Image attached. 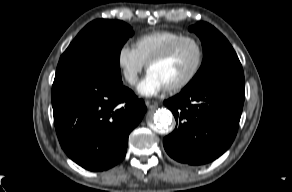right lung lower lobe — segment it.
Segmentation results:
<instances>
[{
    "mask_svg": "<svg viewBox=\"0 0 292 192\" xmlns=\"http://www.w3.org/2000/svg\"><path fill=\"white\" fill-rule=\"evenodd\" d=\"M52 106L61 147L90 171L107 170L125 157L128 136L146 112L122 81L79 69L56 70Z\"/></svg>",
    "mask_w": 292,
    "mask_h": 192,
    "instance_id": "1",
    "label": "right lung lower lobe"
}]
</instances>
